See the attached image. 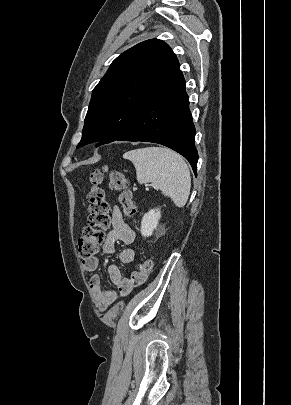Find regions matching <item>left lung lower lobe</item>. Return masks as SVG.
Listing matches in <instances>:
<instances>
[{"instance_id": "0a47b994", "label": "left lung lower lobe", "mask_w": 291, "mask_h": 405, "mask_svg": "<svg viewBox=\"0 0 291 405\" xmlns=\"http://www.w3.org/2000/svg\"><path fill=\"white\" fill-rule=\"evenodd\" d=\"M185 80L176 59L146 93L127 131L117 141L153 142L184 156L196 175L198 152Z\"/></svg>"}]
</instances>
